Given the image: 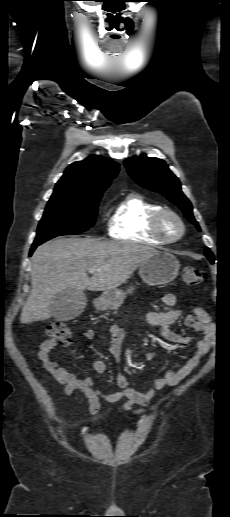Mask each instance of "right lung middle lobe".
<instances>
[{
	"label": "right lung middle lobe",
	"instance_id": "obj_1",
	"mask_svg": "<svg viewBox=\"0 0 230 517\" xmlns=\"http://www.w3.org/2000/svg\"><path fill=\"white\" fill-rule=\"evenodd\" d=\"M102 194L91 197L50 198L33 244L61 235L79 234L95 223Z\"/></svg>",
	"mask_w": 230,
	"mask_h": 517
}]
</instances>
